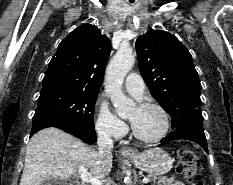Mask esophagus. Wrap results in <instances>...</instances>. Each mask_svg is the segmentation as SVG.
<instances>
[{
    "label": "esophagus",
    "instance_id": "obj_1",
    "mask_svg": "<svg viewBox=\"0 0 233 185\" xmlns=\"http://www.w3.org/2000/svg\"><path fill=\"white\" fill-rule=\"evenodd\" d=\"M120 153H121L122 155H124V156H127V155H134V154H135L134 150H133L132 148H130V147H122V148L120 149Z\"/></svg>",
    "mask_w": 233,
    "mask_h": 185
}]
</instances>
